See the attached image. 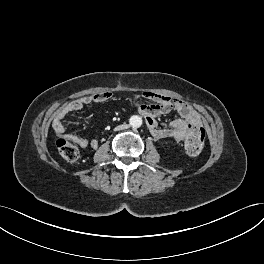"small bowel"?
Here are the masks:
<instances>
[{
  "mask_svg": "<svg viewBox=\"0 0 264 264\" xmlns=\"http://www.w3.org/2000/svg\"><path fill=\"white\" fill-rule=\"evenodd\" d=\"M142 97L153 103H142L140 101ZM111 98L112 94L105 92L93 96L82 97L64 104L55 113L53 120L54 131L59 136H64L66 139L73 141L82 148H97L98 141L95 139L88 140L75 134H65V127L62 120L67 114L82 110L85 105L102 103ZM133 103L137 107L139 113L144 117L151 135L156 139L173 138L176 141H182L191 134L194 128L201 127V120L197 112L180 99H172L166 95L153 92H144L142 95H136L133 98ZM171 110H175L180 118L160 125L156 117L167 114Z\"/></svg>",
  "mask_w": 264,
  "mask_h": 264,
  "instance_id": "c3829d8e",
  "label": "small bowel"
}]
</instances>
